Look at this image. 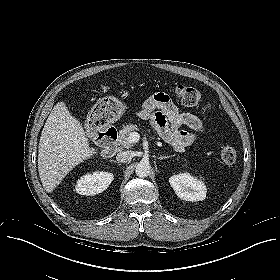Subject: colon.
<instances>
[{
    "instance_id": "obj_1",
    "label": "colon",
    "mask_w": 280,
    "mask_h": 280,
    "mask_svg": "<svg viewBox=\"0 0 280 280\" xmlns=\"http://www.w3.org/2000/svg\"><path fill=\"white\" fill-rule=\"evenodd\" d=\"M176 96L187 106L200 107L203 112L209 110V103L203 101L202 95L196 88L187 85H179L175 89ZM221 161L231 165L237 159V151L234 147L225 145L220 152Z\"/></svg>"
}]
</instances>
